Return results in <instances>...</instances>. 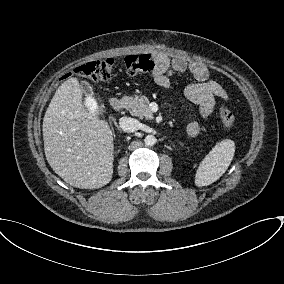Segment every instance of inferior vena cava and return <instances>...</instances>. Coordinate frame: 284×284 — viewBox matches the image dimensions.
Segmentation results:
<instances>
[{
    "mask_svg": "<svg viewBox=\"0 0 284 284\" xmlns=\"http://www.w3.org/2000/svg\"><path fill=\"white\" fill-rule=\"evenodd\" d=\"M119 125L125 132H134L139 127V121L131 117H121L119 119Z\"/></svg>",
    "mask_w": 284,
    "mask_h": 284,
    "instance_id": "602c4592",
    "label": "inferior vena cava"
}]
</instances>
